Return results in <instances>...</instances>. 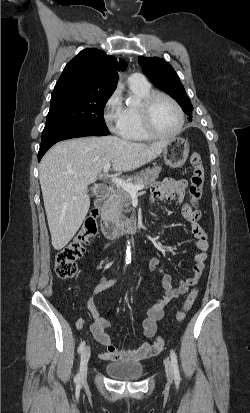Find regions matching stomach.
<instances>
[{"label": "stomach", "instance_id": "obj_1", "mask_svg": "<svg viewBox=\"0 0 250 413\" xmlns=\"http://www.w3.org/2000/svg\"><path fill=\"white\" fill-rule=\"evenodd\" d=\"M189 155V144L183 138H172L167 140L163 149L165 163L173 168L183 166Z\"/></svg>", "mask_w": 250, "mask_h": 413}]
</instances>
